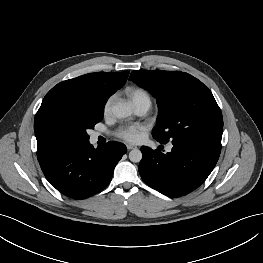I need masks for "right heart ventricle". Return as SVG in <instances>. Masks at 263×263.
<instances>
[{
    "instance_id": "1",
    "label": "right heart ventricle",
    "mask_w": 263,
    "mask_h": 263,
    "mask_svg": "<svg viewBox=\"0 0 263 263\" xmlns=\"http://www.w3.org/2000/svg\"><path fill=\"white\" fill-rule=\"evenodd\" d=\"M126 95L130 98L135 107L139 105H151V96L147 90L140 87H127Z\"/></svg>"
}]
</instances>
